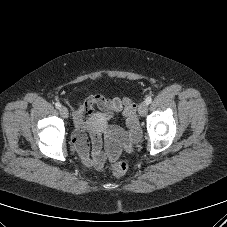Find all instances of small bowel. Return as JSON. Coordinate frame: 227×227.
<instances>
[{"instance_id":"c3829d8e","label":"small bowel","mask_w":227,"mask_h":227,"mask_svg":"<svg viewBox=\"0 0 227 227\" xmlns=\"http://www.w3.org/2000/svg\"><path fill=\"white\" fill-rule=\"evenodd\" d=\"M94 106L100 111L94 112ZM120 113L125 118L128 130L109 124ZM74 118L77 126L74 145L84 163L99 171L103 170L107 158L111 161L118 158L121 146L129 151L141 137L136 105L129 98L90 96L80 104ZM104 137L106 152L103 151Z\"/></svg>"}]
</instances>
